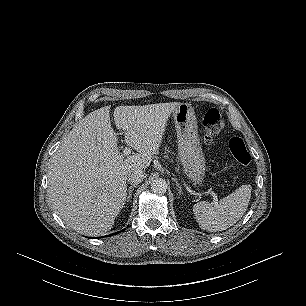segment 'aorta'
I'll use <instances>...</instances> for the list:
<instances>
[{
  "label": "aorta",
  "instance_id": "762f6f07",
  "mask_svg": "<svg viewBox=\"0 0 306 306\" xmlns=\"http://www.w3.org/2000/svg\"><path fill=\"white\" fill-rule=\"evenodd\" d=\"M167 182L163 178H156L151 183V189L153 192L163 194L167 190Z\"/></svg>",
  "mask_w": 306,
  "mask_h": 306
}]
</instances>
